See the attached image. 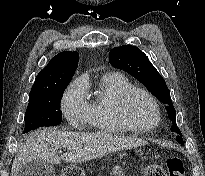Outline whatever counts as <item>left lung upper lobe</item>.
I'll return each mask as SVG.
<instances>
[{
  "mask_svg": "<svg viewBox=\"0 0 205 176\" xmlns=\"http://www.w3.org/2000/svg\"><path fill=\"white\" fill-rule=\"evenodd\" d=\"M109 61L112 66L136 77L152 94L167 105L168 116L173 121L171 131L179 134L176 136V141L183 145L181 131L176 126V111L172 104L170 91L165 80L149 61L146 54L136 46L123 45L110 51Z\"/></svg>",
  "mask_w": 205,
  "mask_h": 176,
  "instance_id": "5c2ea615",
  "label": "left lung upper lobe"
}]
</instances>
